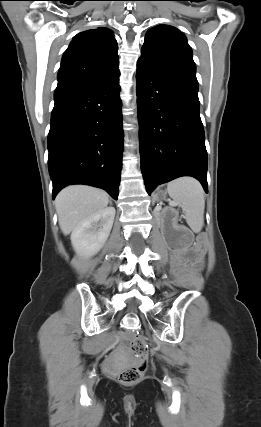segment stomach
<instances>
[{"instance_id": "obj_1", "label": "stomach", "mask_w": 261, "mask_h": 427, "mask_svg": "<svg viewBox=\"0 0 261 427\" xmlns=\"http://www.w3.org/2000/svg\"><path fill=\"white\" fill-rule=\"evenodd\" d=\"M164 197H165V193L162 190H159L155 195L156 199H162Z\"/></svg>"}]
</instances>
